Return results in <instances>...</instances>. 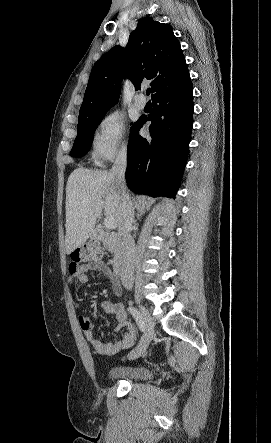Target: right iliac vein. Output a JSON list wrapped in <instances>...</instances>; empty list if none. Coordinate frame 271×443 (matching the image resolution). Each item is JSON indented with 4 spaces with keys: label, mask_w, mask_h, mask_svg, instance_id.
Listing matches in <instances>:
<instances>
[{
    "label": "right iliac vein",
    "mask_w": 271,
    "mask_h": 443,
    "mask_svg": "<svg viewBox=\"0 0 271 443\" xmlns=\"http://www.w3.org/2000/svg\"><path fill=\"white\" fill-rule=\"evenodd\" d=\"M139 308H140V312H141V316L143 318V321L146 325V331H145V334L143 335L142 339L140 340L138 346L134 350H132L130 352V354L128 355V358L131 360L139 358L141 355H143L145 353L147 347L150 344L151 339L153 338V334H154V323H153L147 309L142 305H139Z\"/></svg>",
    "instance_id": "1"
}]
</instances>
